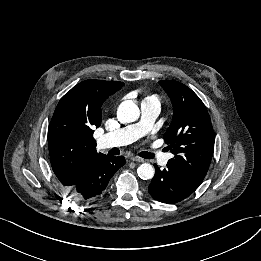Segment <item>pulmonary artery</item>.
Masks as SVG:
<instances>
[{"label":"pulmonary artery","mask_w":261,"mask_h":261,"mask_svg":"<svg viewBox=\"0 0 261 261\" xmlns=\"http://www.w3.org/2000/svg\"><path fill=\"white\" fill-rule=\"evenodd\" d=\"M142 118L135 125L122 128L120 130L107 133L99 139L103 148L124 146L132 143L143 136L152 126L157 118L160 108L154 100H144L141 104ZM172 154H165L158 151L154 158L160 166H166Z\"/></svg>","instance_id":"pulmonary-artery-1"}]
</instances>
